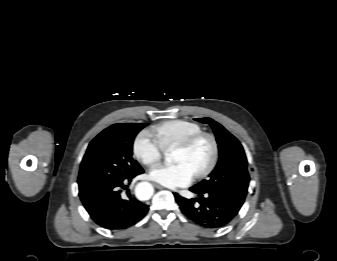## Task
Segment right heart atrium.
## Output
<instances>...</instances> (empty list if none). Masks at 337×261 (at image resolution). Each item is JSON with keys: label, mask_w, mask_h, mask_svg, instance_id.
<instances>
[{"label": "right heart atrium", "mask_w": 337, "mask_h": 261, "mask_svg": "<svg viewBox=\"0 0 337 261\" xmlns=\"http://www.w3.org/2000/svg\"><path fill=\"white\" fill-rule=\"evenodd\" d=\"M135 156L146 166H153L159 162L164 154V148L151 132H140L133 144Z\"/></svg>", "instance_id": "d8ad5b80"}]
</instances>
